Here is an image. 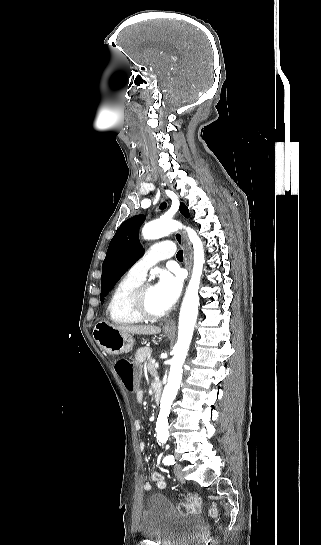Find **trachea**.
I'll use <instances>...</instances> for the list:
<instances>
[{
  "instance_id": "3493384b",
  "label": "trachea",
  "mask_w": 321,
  "mask_h": 545,
  "mask_svg": "<svg viewBox=\"0 0 321 545\" xmlns=\"http://www.w3.org/2000/svg\"><path fill=\"white\" fill-rule=\"evenodd\" d=\"M176 258H177L178 260H183V251H182V250H180L179 252H177Z\"/></svg>"
}]
</instances>
